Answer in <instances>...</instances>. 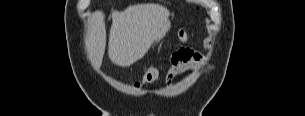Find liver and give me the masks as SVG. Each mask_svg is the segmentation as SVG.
I'll return each instance as SVG.
<instances>
[{"instance_id":"obj_1","label":"liver","mask_w":305,"mask_h":116,"mask_svg":"<svg viewBox=\"0 0 305 116\" xmlns=\"http://www.w3.org/2000/svg\"><path fill=\"white\" fill-rule=\"evenodd\" d=\"M169 11L159 4L130 5L124 11L112 12L108 56L112 63L129 67L149 50ZM85 38L88 58L95 69L100 68L106 47V27L103 12H94L88 20Z\"/></svg>"}]
</instances>
